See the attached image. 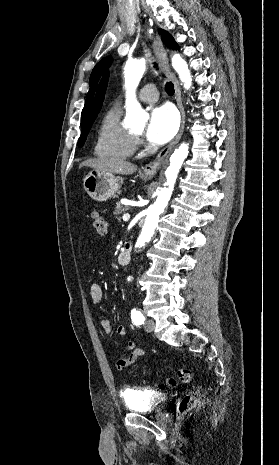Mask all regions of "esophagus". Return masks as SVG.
Returning a JSON list of instances; mask_svg holds the SVG:
<instances>
[{
  "instance_id": "esophagus-1",
  "label": "esophagus",
  "mask_w": 279,
  "mask_h": 465,
  "mask_svg": "<svg viewBox=\"0 0 279 465\" xmlns=\"http://www.w3.org/2000/svg\"><path fill=\"white\" fill-rule=\"evenodd\" d=\"M152 46H153V50L156 55V58L162 68V71L174 84L175 99H176L178 108L181 113V126L175 139L169 145L163 148L153 161L145 165V167L143 168V174L146 177H153L158 172L166 156L170 153L173 147L179 142L183 134L184 125H185V111H184V107L182 104L179 82L176 76L174 75V73H172V71L170 70L168 59L166 57L163 44H162V41L159 35L156 34V36L154 37Z\"/></svg>"
}]
</instances>
